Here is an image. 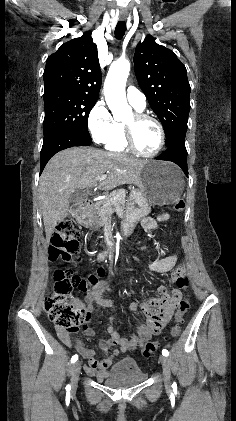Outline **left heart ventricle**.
I'll use <instances>...</instances> for the list:
<instances>
[{
  "instance_id": "obj_1",
  "label": "left heart ventricle",
  "mask_w": 236,
  "mask_h": 421,
  "mask_svg": "<svg viewBox=\"0 0 236 421\" xmlns=\"http://www.w3.org/2000/svg\"><path fill=\"white\" fill-rule=\"evenodd\" d=\"M125 122L130 124L134 143L141 152L151 153L157 148L159 133L155 124L148 120H135L133 115Z\"/></svg>"
}]
</instances>
